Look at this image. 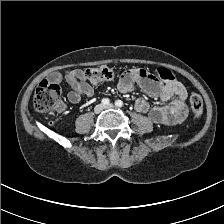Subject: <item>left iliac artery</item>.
<instances>
[{"mask_svg":"<svg viewBox=\"0 0 224 224\" xmlns=\"http://www.w3.org/2000/svg\"><path fill=\"white\" fill-rule=\"evenodd\" d=\"M115 105H116L117 107H122V106H123V102H122L121 100H116V101H115Z\"/></svg>","mask_w":224,"mask_h":224,"instance_id":"left-iliac-artery-1","label":"left iliac artery"}]
</instances>
